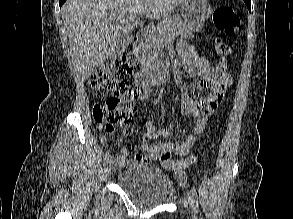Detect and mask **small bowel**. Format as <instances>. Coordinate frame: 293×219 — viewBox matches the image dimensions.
Listing matches in <instances>:
<instances>
[{
    "mask_svg": "<svg viewBox=\"0 0 293 219\" xmlns=\"http://www.w3.org/2000/svg\"><path fill=\"white\" fill-rule=\"evenodd\" d=\"M181 65L188 76L200 77L196 86L198 89H208L209 93L205 98L195 99L187 87H182L181 93V113L183 115L193 116V122L187 126L184 131V138H174L167 141H154L158 136L166 135L165 131H157L151 121H146L144 127L146 133L142 136V148L145 154L136 153L133 160H129V152L123 150L116 157L115 161L120 167H128L133 164H143L154 161L163 151L170 150L177 155L188 154L198 136L204 131L208 117L213 114L217 107L223 102L226 88L231 84L230 76L218 72L213 68L208 60L201 56L199 52L191 45L180 44ZM150 90L145 89L141 92L138 100H147L151 97ZM129 124L123 126L125 134H128ZM100 131V140L106 143L107 138L103 134V129L98 126ZM183 174L181 179H183Z\"/></svg>",
    "mask_w": 293,
    "mask_h": 219,
    "instance_id": "1",
    "label": "small bowel"
}]
</instances>
